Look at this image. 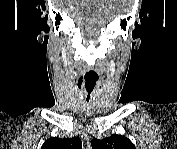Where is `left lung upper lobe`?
Here are the masks:
<instances>
[{"mask_svg": "<svg viewBox=\"0 0 177 149\" xmlns=\"http://www.w3.org/2000/svg\"><path fill=\"white\" fill-rule=\"evenodd\" d=\"M93 149H135L132 142L125 136L113 134L102 140H92Z\"/></svg>", "mask_w": 177, "mask_h": 149, "instance_id": "left-lung-upper-lobe-1", "label": "left lung upper lobe"}]
</instances>
